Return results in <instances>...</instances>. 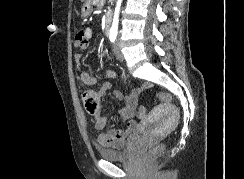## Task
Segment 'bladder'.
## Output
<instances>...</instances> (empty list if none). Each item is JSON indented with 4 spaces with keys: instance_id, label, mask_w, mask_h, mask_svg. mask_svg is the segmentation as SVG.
<instances>
[{
    "instance_id": "31cf9c89",
    "label": "bladder",
    "mask_w": 244,
    "mask_h": 179,
    "mask_svg": "<svg viewBox=\"0 0 244 179\" xmlns=\"http://www.w3.org/2000/svg\"><path fill=\"white\" fill-rule=\"evenodd\" d=\"M130 152L131 150L128 147L120 150L98 149V155L105 160L111 161L126 159Z\"/></svg>"
}]
</instances>
